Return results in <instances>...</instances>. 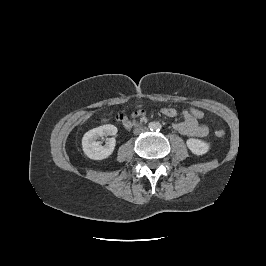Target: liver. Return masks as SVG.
<instances>
[{"instance_id":"obj_1","label":"liver","mask_w":266,"mask_h":266,"mask_svg":"<svg viewBox=\"0 0 266 266\" xmlns=\"http://www.w3.org/2000/svg\"><path fill=\"white\" fill-rule=\"evenodd\" d=\"M92 115V113L91 114H88V115H86V117H85V120H87L88 118H90V116ZM84 120V121H85Z\"/></svg>"}]
</instances>
